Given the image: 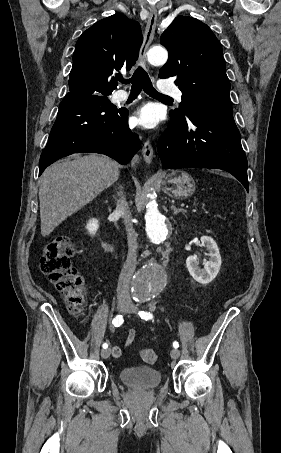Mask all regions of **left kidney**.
Returning a JSON list of instances; mask_svg holds the SVG:
<instances>
[{
  "label": "left kidney",
  "instance_id": "1",
  "mask_svg": "<svg viewBox=\"0 0 281 453\" xmlns=\"http://www.w3.org/2000/svg\"><path fill=\"white\" fill-rule=\"evenodd\" d=\"M201 243L202 247H206L210 257L209 261H206L204 269L198 267L197 257H187L186 267L191 277H193L197 283L207 285V283H211V281L217 277L222 261L219 249L211 237H201Z\"/></svg>",
  "mask_w": 281,
  "mask_h": 453
}]
</instances>
